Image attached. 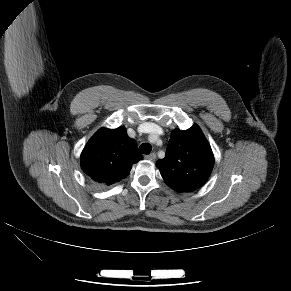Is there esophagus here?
Masks as SVG:
<instances>
[{"instance_id":"1","label":"esophagus","mask_w":291,"mask_h":291,"mask_svg":"<svg viewBox=\"0 0 291 291\" xmlns=\"http://www.w3.org/2000/svg\"><path fill=\"white\" fill-rule=\"evenodd\" d=\"M145 158L147 160H151V161H154L156 159V154L155 153H151L149 155H146Z\"/></svg>"}]
</instances>
